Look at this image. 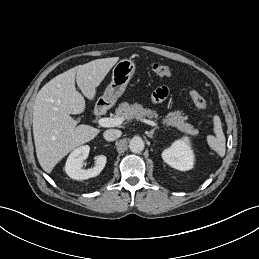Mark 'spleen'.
<instances>
[{"label": "spleen", "mask_w": 259, "mask_h": 259, "mask_svg": "<svg viewBox=\"0 0 259 259\" xmlns=\"http://www.w3.org/2000/svg\"><path fill=\"white\" fill-rule=\"evenodd\" d=\"M214 131L216 133V137H210L208 143L210 147L219 154V156L223 157L225 155V136L219 121L215 122Z\"/></svg>", "instance_id": "obj_1"}]
</instances>
